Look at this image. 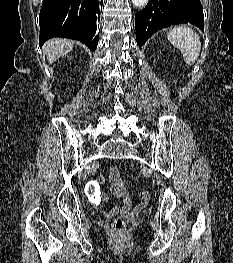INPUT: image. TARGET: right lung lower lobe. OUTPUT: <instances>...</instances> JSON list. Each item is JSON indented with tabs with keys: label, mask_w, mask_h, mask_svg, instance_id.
Instances as JSON below:
<instances>
[{
	"label": "right lung lower lobe",
	"mask_w": 233,
	"mask_h": 263,
	"mask_svg": "<svg viewBox=\"0 0 233 263\" xmlns=\"http://www.w3.org/2000/svg\"><path fill=\"white\" fill-rule=\"evenodd\" d=\"M103 0H43L39 15L40 47L52 37L76 39L95 51Z\"/></svg>",
	"instance_id": "right-lung-lower-lobe-1"
}]
</instances>
